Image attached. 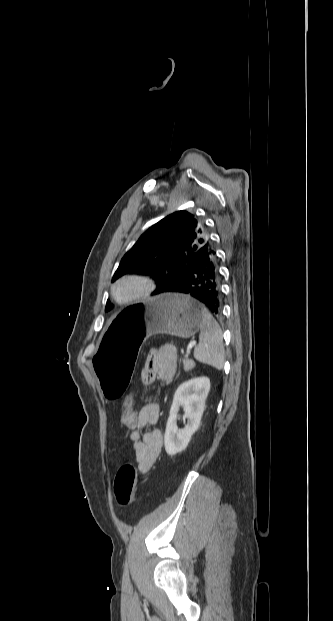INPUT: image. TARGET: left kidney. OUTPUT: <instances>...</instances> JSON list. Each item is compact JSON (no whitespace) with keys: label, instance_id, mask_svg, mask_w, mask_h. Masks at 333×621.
Listing matches in <instances>:
<instances>
[{"label":"left kidney","instance_id":"left-kidney-1","mask_svg":"<svg viewBox=\"0 0 333 621\" xmlns=\"http://www.w3.org/2000/svg\"><path fill=\"white\" fill-rule=\"evenodd\" d=\"M209 390L210 380L207 377L193 378L177 388L164 436L165 450L168 455L173 456L183 451L190 442L191 436L199 428ZM181 406L185 412L187 424L184 428L178 429L177 418Z\"/></svg>","mask_w":333,"mask_h":621}]
</instances>
